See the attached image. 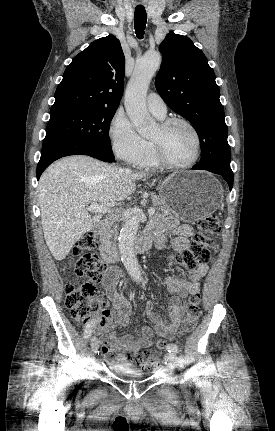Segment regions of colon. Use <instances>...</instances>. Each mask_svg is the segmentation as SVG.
<instances>
[{"label": "colon", "mask_w": 275, "mask_h": 431, "mask_svg": "<svg viewBox=\"0 0 275 431\" xmlns=\"http://www.w3.org/2000/svg\"><path fill=\"white\" fill-rule=\"evenodd\" d=\"M220 230L219 217L215 214L208 215L198 222V232L195 234L191 245L177 254L170 255V260L193 270L198 265L206 263L211 257V251L218 249V244L212 239ZM96 236L92 233L81 237L73 251V272L78 277H86L87 282L80 286L72 284L65 287V305L71 317L81 323H87L92 319L98 320L99 327L105 324L106 308L104 302L98 297L97 283L106 273V264L96 253ZM201 315V296L194 293L189 298L185 317L182 321L180 335L190 333ZM159 347L164 342L158 343ZM134 362L141 366L142 370L151 372L159 365L156 351L146 350L144 355H137Z\"/></svg>", "instance_id": "obj_1"}]
</instances>
